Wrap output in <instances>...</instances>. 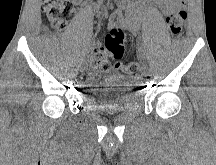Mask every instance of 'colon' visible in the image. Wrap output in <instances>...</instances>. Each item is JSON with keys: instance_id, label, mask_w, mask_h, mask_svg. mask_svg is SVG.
<instances>
[{"instance_id": "colon-1", "label": "colon", "mask_w": 216, "mask_h": 165, "mask_svg": "<svg viewBox=\"0 0 216 165\" xmlns=\"http://www.w3.org/2000/svg\"><path fill=\"white\" fill-rule=\"evenodd\" d=\"M79 0H43V13L50 25L58 31H63L69 21L75 16V5ZM187 18L185 9L171 12L167 18V25L172 35L181 33ZM125 34L119 27L111 28L105 37V47L102 52H95L92 56L93 66L99 70H107L111 65L124 69L130 75H137L140 67L136 62L123 65ZM110 60L111 63L108 61Z\"/></svg>"}]
</instances>
